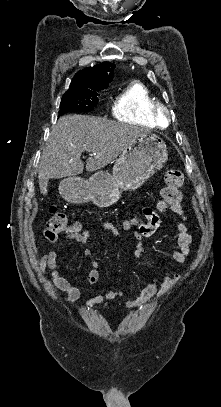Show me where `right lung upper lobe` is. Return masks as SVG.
<instances>
[{
	"label": "right lung upper lobe",
	"instance_id": "obj_1",
	"mask_svg": "<svg viewBox=\"0 0 221 407\" xmlns=\"http://www.w3.org/2000/svg\"><path fill=\"white\" fill-rule=\"evenodd\" d=\"M115 65L104 62L102 65L85 68L77 72L72 79L68 91L105 89L113 79V69Z\"/></svg>",
	"mask_w": 221,
	"mask_h": 407
}]
</instances>
